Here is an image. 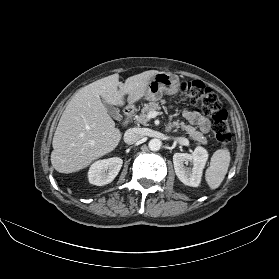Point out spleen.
Returning a JSON list of instances; mask_svg holds the SVG:
<instances>
[{
	"label": "spleen",
	"mask_w": 279,
	"mask_h": 279,
	"mask_svg": "<svg viewBox=\"0 0 279 279\" xmlns=\"http://www.w3.org/2000/svg\"><path fill=\"white\" fill-rule=\"evenodd\" d=\"M230 160V152L227 148L219 149L213 154L210 166L205 173V179L210 189L214 190L220 186L227 174Z\"/></svg>",
	"instance_id": "obj_1"
}]
</instances>
